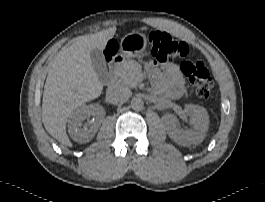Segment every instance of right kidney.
<instances>
[{
	"mask_svg": "<svg viewBox=\"0 0 265 202\" xmlns=\"http://www.w3.org/2000/svg\"><path fill=\"white\" fill-rule=\"evenodd\" d=\"M105 116V110L98 104L81 105L70 115L68 120V132L70 137L79 143L90 141L98 131ZM92 118L89 123L85 119Z\"/></svg>",
	"mask_w": 265,
	"mask_h": 202,
	"instance_id": "right-kidney-1",
	"label": "right kidney"
}]
</instances>
